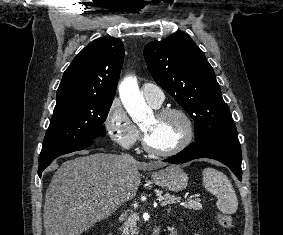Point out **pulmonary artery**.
<instances>
[{"instance_id": "1", "label": "pulmonary artery", "mask_w": 283, "mask_h": 235, "mask_svg": "<svg viewBox=\"0 0 283 235\" xmlns=\"http://www.w3.org/2000/svg\"><path fill=\"white\" fill-rule=\"evenodd\" d=\"M141 91L145 99L154 107H159L164 100V93L162 89L152 83H144Z\"/></svg>"}]
</instances>
